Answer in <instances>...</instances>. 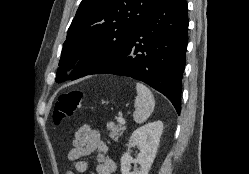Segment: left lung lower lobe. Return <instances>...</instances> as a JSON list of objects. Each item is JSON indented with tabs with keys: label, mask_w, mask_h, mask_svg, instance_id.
Segmentation results:
<instances>
[{
	"label": "left lung lower lobe",
	"mask_w": 249,
	"mask_h": 174,
	"mask_svg": "<svg viewBox=\"0 0 249 174\" xmlns=\"http://www.w3.org/2000/svg\"><path fill=\"white\" fill-rule=\"evenodd\" d=\"M186 0H158L122 55L93 73L128 76L164 94L180 114L181 80L188 41Z\"/></svg>",
	"instance_id": "1"
}]
</instances>
